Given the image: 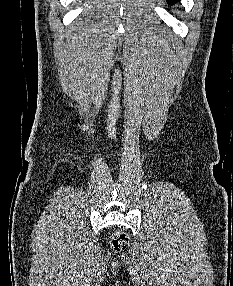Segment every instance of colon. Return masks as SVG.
Segmentation results:
<instances>
[{
  "instance_id": "1",
  "label": "colon",
  "mask_w": 233,
  "mask_h": 286,
  "mask_svg": "<svg viewBox=\"0 0 233 286\" xmlns=\"http://www.w3.org/2000/svg\"><path fill=\"white\" fill-rule=\"evenodd\" d=\"M127 241V236L124 233L117 232L112 236L111 244L114 249L119 250L126 246Z\"/></svg>"
}]
</instances>
